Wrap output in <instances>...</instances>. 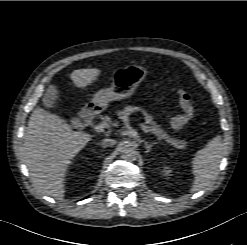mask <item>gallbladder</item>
Segmentation results:
<instances>
[{
    "label": "gallbladder",
    "instance_id": "gallbladder-1",
    "mask_svg": "<svg viewBox=\"0 0 247 245\" xmlns=\"http://www.w3.org/2000/svg\"><path fill=\"white\" fill-rule=\"evenodd\" d=\"M57 99V91L54 87L49 86L46 93L43 95L42 102L47 109L55 106Z\"/></svg>",
    "mask_w": 247,
    "mask_h": 245
}]
</instances>
